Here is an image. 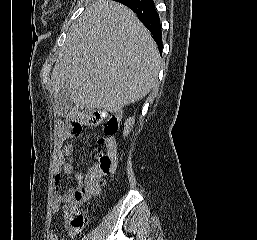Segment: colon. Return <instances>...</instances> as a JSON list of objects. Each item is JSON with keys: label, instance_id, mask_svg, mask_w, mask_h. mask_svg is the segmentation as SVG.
<instances>
[{"label": "colon", "instance_id": "5ec220e1", "mask_svg": "<svg viewBox=\"0 0 257 240\" xmlns=\"http://www.w3.org/2000/svg\"><path fill=\"white\" fill-rule=\"evenodd\" d=\"M92 124L102 128V134L98 143L103 144L112 137L118 129V121L115 115L110 112L96 111L91 114ZM71 128L78 132L82 130L80 123L71 124ZM115 171V159L106 151L99 150L92 162L87 176L80 182L69 196L66 207V215L69 220V227L77 232L81 231L87 223L86 216L80 212L78 206L95 195L103 186L105 179Z\"/></svg>", "mask_w": 257, "mask_h": 240}]
</instances>
